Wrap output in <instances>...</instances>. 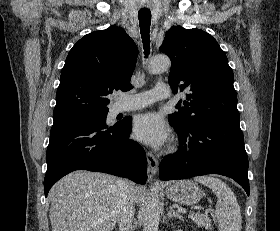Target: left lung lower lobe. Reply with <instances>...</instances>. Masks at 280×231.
<instances>
[{
    "mask_svg": "<svg viewBox=\"0 0 280 231\" xmlns=\"http://www.w3.org/2000/svg\"><path fill=\"white\" fill-rule=\"evenodd\" d=\"M170 124L180 146L176 154L161 161V180L220 174L234 179L249 195L248 157L238 121H210L187 129Z\"/></svg>",
    "mask_w": 280,
    "mask_h": 231,
    "instance_id": "left-lung-lower-lobe-1",
    "label": "left lung lower lobe"
}]
</instances>
